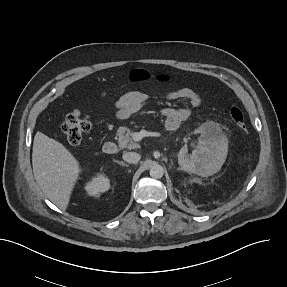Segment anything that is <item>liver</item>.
Masks as SVG:
<instances>
[{
	"label": "liver",
	"mask_w": 287,
	"mask_h": 287,
	"mask_svg": "<svg viewBox=\"0 0 287 287\" xmlns=\"http://www.w3.org/2000/svg\"><path fill=\"white\" fill-rule=\"evenodd\" d=\"M32 165L35 180L45 196L66 210L81 172L78 160L62 143L38 131L33 142Z\"/></svg>",
	"instance_id": "1"
}]
</instances>
